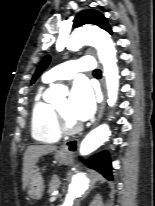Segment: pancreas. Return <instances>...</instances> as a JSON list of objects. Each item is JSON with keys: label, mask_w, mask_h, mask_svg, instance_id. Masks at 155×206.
<instances>
[{"label": "pancreas", "mask_w": 155, "mask_h": 206, "mask_svg": "<svg viewBox=\"0 0 155 206\" xmlns=\"http://www.w3.org/2000/svg\"><path fill=\"white\" fill-rule=\"evenodd\" d=\"M59 185H60L59 177L57 175H54L50 180L48 192L52 193L53 191L57 190L59 188Z\"/></svg>", "instance_id": "pancreas-1"}]
</instances>
